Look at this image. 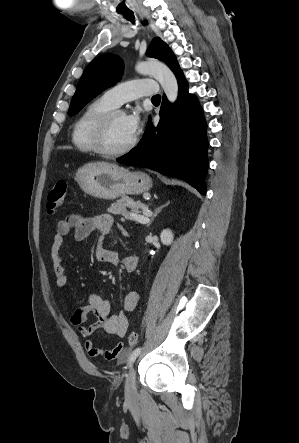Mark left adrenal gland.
I'll list each match as a JSON object with an SVG mask.
<instances>
[{"label": "left adrenal gland", "instance_id": "1", "mask_svg": "<svg viewBox=\"0 0 299 443\" xmlns=\"http://www.w3.org/2000/svg\"><path fill=\"white\" fill-rule=\"evenodd\" d=\"M168 204H169V203H167V204H165V205H163V206H160L159 208H157V209L155 210V213L153 214V216H152V218H151V220H150L148 226L153 222V220H154V218L157 216V214L160 213L161 210H162L165 206H167Z\"/></svg>", "mask_w": 299, "mask_h": 443}]
</instances>
